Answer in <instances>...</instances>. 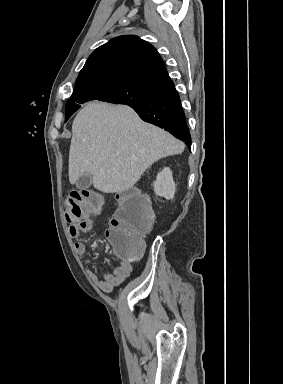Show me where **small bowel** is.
Here are the masks:
<instances>
[{"instance_id": "c3829d8e", "label": "small bowel", "mask_w": 283, "mask_h": 384, "mask_svg": "<svg viewBox=\"0 0 283 384\" xmlns=\"http://www.w3.org/2000/svg\"><path fill=\"white\" fill-rule=\"evenodd\" d=\"M93 228V221L89 218L76 226L70 225V234L72 237H77L83 232H88ZM75 251L78 255L86 253V244L83 241H77L74 244ZM132 266L128 261H121L112 273L105 274L102 279L92 271L88 270V274L92 281L103 291L110 292L116 286L121 284L131 273Z\"/></svg>"}]
</instances>
